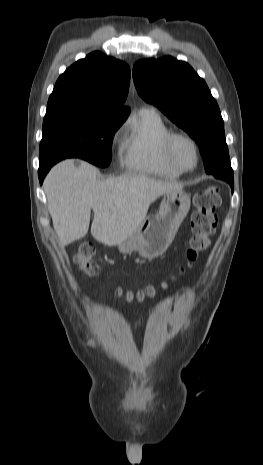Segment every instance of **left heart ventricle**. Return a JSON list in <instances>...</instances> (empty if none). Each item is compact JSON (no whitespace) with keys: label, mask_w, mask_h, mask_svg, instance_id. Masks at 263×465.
I'll return each instance as SVG.
<instances>
[{"label":"left heart ventricle","mask_w":263,"mask_h":465,"mask_svg":"<svg viewBox=\"0 0 263 465\" xmlns=\"http://www.w3.org/2000/svg\"><path fill=\"white\" fill-rule=\"evenodd\" d=\"M174 156L185 168H191L195 163L193 147L185 140H177L174 144Z\"/></svg>","instance_id":"1"}]
</instances>
